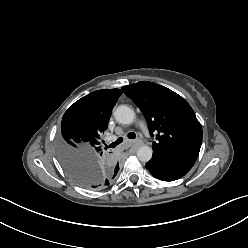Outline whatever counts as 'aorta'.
<instances>
[{
	"mask_svg": "<svg viewBox=\"0 0 248 248\" xmlns=\"http://www.w3.org/2000/svg\"><path fill=\"white\" fill-rule=\"evenodd\" d=\"M114 117L117 122L127 125L133 123L135 112L126 105H120L114 111ZM152 154V148L147 145H143L137 150V157L142 162H148L151 159Z\"/></svg>",
	"mask_w": 248,
	"mask_h": 248,
	"instance_id": "obj_1",
	"label": "aorta"
}]
</instances>
